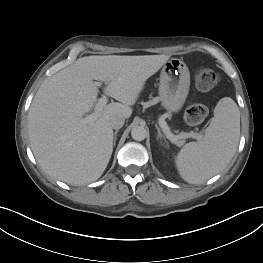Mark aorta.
<instances>
[{
	"label": "aorta",
	"mask_w": 263,
	"mask_h": 263,
	"mask_svg": "<svg viewBox=\"0 0 263 263\" xmlns=\"http://www.w3.org/2000/svg\"><path fill=\"white\" fill-rule=\"evenodd\" d=\"M131 136L136 141H142L147 136V131L143 126H135L131 130Z\"/></svg>",
	"instance_id": "762f6f07"
}]
</instances>
